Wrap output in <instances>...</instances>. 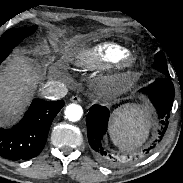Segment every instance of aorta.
<instances>
[{"label": "aorta", "instance_id": "762f6f07", "mask_svg": "<svg viewBox=\"0 0 183 183\" xmlns=\"http://www.w3.org/2000/svg\"><path fill=\"white\" fill-rule=\"evenodd\" d=\"M64 114L66 119L76 122L81 119L83 115V109L80 105L70 104L66 107Z\"/></svg>", "mask_w": 183, "mask_h": 183}]
</instances>
